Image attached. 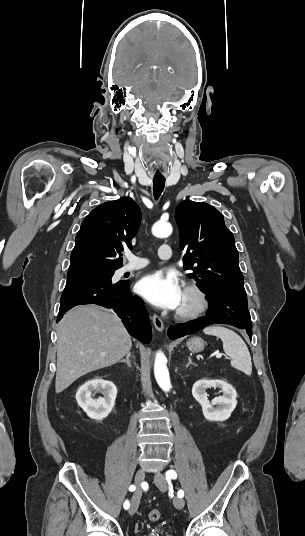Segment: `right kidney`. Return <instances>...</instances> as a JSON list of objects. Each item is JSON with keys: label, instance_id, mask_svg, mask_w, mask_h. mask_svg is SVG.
Returning <instances> with one entry per match:
<instances>
[{"label": "right kidney", "instance_id": "ca27d5eb", "mask_svg": "<svg viewBox=\"0 0 305 536\" xmlns=\"http://www.w3.org/2000/svg\"><path fill=\"white\" fill-rule=\"evenodd\" d=\"M92 392L103 394L104 398H95L93 400L94 396ZM116 396L117 388L115 384L96 376V378H92V380H88L83 386H80L76 394V400L78 406L86 412L89 418L103 420V418H107L108 414L112 412L115 406Z\"/></svg>", "mask_w": 305, "mask_h": 536}]
</instances>
